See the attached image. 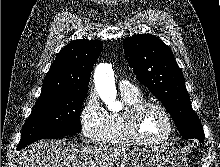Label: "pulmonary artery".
<instances>
[{"mask_svg": "<svg viewBox=\"0 0 220 167\" xmlns=\"http://www.w3.org/2000/svg\"><path fill=\"white\" fill-rule=\"evenodd\" d=\"M119 88L121 91H135V88L128 81H121L119 83Z\"/></svg>", "mask_w": 220, "mask_h": 167, "instance_id": "1", "label": "pulmonary artery"}]
</instances>
